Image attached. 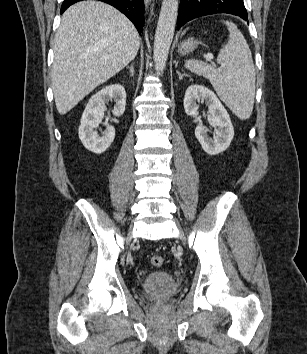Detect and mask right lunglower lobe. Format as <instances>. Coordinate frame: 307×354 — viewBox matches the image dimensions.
Masks as SVG:
<instances>
[{"label": "right lung lower lobe", "instance_id": "obj_1", "mask_svg": "<svg viewBox=\"0 0 307 354\" xmlns=\"http://www.w3.org/2000/svg\"><path fill=\"white\" fill-rule=\"evenodd\" d=\"M82 0H64L61 6L63 13L70 5ZM106 2L124 13L141 33L144 24V0H99Z\"/></svg>", "mask_w": 307, "mask_h": 354}]
</instances>
